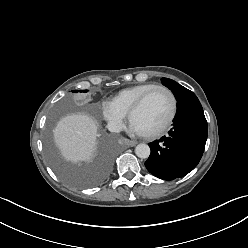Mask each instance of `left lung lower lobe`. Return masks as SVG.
<instances>
[{"instance_id":"1","label":"left lung lower lobe","mask_w":248,"mask_h":248,"mask_svg":"<svg viewBox=\"0 0 248 248\" xmlns=\"http://www.w3.org/2000/svg\"><path fill=\"white\" fill-rule=\"evenodd\" d=\"M173 128L167 136L149 143L151 154L147 170L163 180L180 178L199 163L207 140V121L203 108L191 92L177 102Z\"/></svg>"}]
</instances>
